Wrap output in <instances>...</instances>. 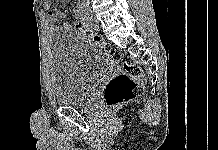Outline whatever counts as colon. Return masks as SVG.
<instances>
[{"instance_id": "colon-1", "label": "colon", "mask_w": 218, "mask_h": 150, "mask_svg": "<svg viewBox=\"0 0 218 150\" xmlns=\"http://www.w3.org/2000/svg\"><path fill=\"white\" fill-rule=\"evenodd\" d=\"M73 26L88 36L111 60L122 64L123 72L113 77L105 87L104 98L107 106L116 109L139 97L143 93L145 81L142 69L136 64L122 60L121 53L88 26L80 22H75Z\"/></svg>"}]
</instances>
